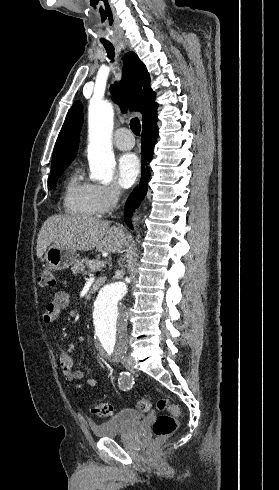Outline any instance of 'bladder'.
Returning a JSON list of instances; mask_svg holds the SVG:
<instances>
[{
	"instance_id": "1",
	"label": "bladder",
	"mask_w": 279,
	"mask_h": 490,
	"mask_svg": "<svg viewBox=\"0 0 279 490\" xmlns=\"http://www.w3.org/2000/svg\"><path fill=\"white\" fill-rule=\"evenodd\" d=\"M144 416V413L135 408H124L106 421L93 424L91 430L98 438L111 437L126 431L131 432L140 425Z\"/></svg>"
}]
</instances>
